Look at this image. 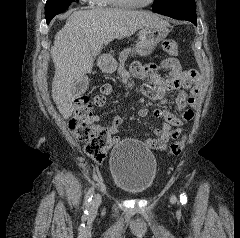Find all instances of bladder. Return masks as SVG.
<instances>
[{
	"mask_svg": "<svg viewBox=\"0 0 240 238\" xmlns=\"http://www.w3.org/2000/svg\"><path fill=\"white\" fill-rule=\"evenodd\" d=\"M109 170L118 189L131 195H142L154 184L157 161L152 151L141 142L124 140L111 150Z\"/></svg>",
	"mask_w": 240,
	"mask_h": 238,
	"instance_id": "bladder-1",
	"label": "bladder"
}]
</instances>
